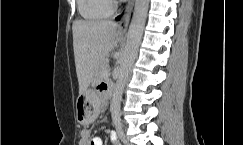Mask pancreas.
I'll use <instances>...</instances> for the list:
<instances>
[{"label": "pancreas", "instance_id": "1", "mask_svg": "<svg viewBox=\"0 0 243 145\" xmlns=\"http://www.w3.org/2000/svg\"><path fill=\"white\" fill-rule=\"evenodd\" d=\"M108 75H109V65H108V62L106 60H104L100 64L96 78L99 80V79H103V78L107 77Z\"/></svg>", "mask_w": 243, "mask_h": 145}]
</instances>
